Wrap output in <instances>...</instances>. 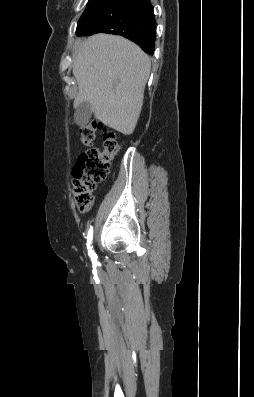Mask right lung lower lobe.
Returning <instances> with one entry per match:
<instances>
[{"instance_id":"obj_1","label":"right lung lower lobe","mask_w":254,"mask_h":397,"mask_svg":"<svg viewBox=\"0 0 254 397\" xmlns=\"http://www.w3.org/2000/svg\"><path fill=\"white\" fill-rule=\"evenodd\" d=\"M108 33L124 36L153 55L156 22L149 0H106L76 34Z\"/></svg>"}]
</instances>
